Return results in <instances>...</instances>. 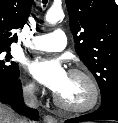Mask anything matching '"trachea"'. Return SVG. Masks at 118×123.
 <instances>
[{
	"mask_svg": "<svg viewBox=\"0 0 118 123\" xmlns=\"http://www.w3.org/2000/svg\"><path fill=\"white\" fill-rule=\"evenodd\" d=\"M42 2H43V4H46L47 3V0H43Z\"/></svg>",
	"mask_w": 118,
	"mask_h": 123,
	"instance_id": "3493384b",
	"label": "trachea"
}]
</instances>
